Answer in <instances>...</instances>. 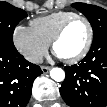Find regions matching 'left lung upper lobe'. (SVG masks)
Segmentation results:
<instances>
[{"mask_svg":"<svg viewBox=\"0 0 107 107\" xmlns=\"http://www.w3.org/2000/svg\"><path fill=\"white\" fill-rule=\"evenodd\" d=\"M72 6L83 13L91 23L94 32L93 41L107 35V10L85 3H73Z\"/></svg>","mask_w":107,"mask_h":107,"instance_id":"obj_1","label":"left lung upper lobe"}]
</instances>
